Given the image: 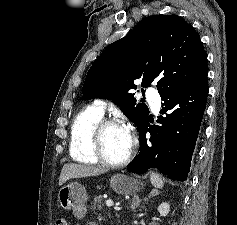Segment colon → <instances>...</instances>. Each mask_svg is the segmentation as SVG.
<instances>
[{
	"label": "colon",
	"mask_w": 237,
	"mask_h": 225,
	"mask_svg": "<svg viewBox=\"0 0 237 225\" xmlns=\"http://www.w3.org/2000/svg\"><path fill=\"white\" fill-rule=\"evenodd\" d=\"M56 225H68V221L66 218H59L56 221Z\"/></svg>",
	"instance_id": "5ec220e1"
}]
</instances>
